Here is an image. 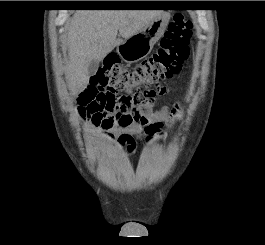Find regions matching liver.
I'll list each match as a JSON object with an SVG mask.
<instances>
[{
  "mask_svg": "<svg viewBox=\"0 0 265 245\" xmlns=\"http://www.w3.org/2000/svg\"><path fill=\"white\" fill-rule=\"evenodd\" d=\"M159 10H78L69 24L66 42L69 62L65 76L71 95L77 96L89 83L88 65L101 61L123 39L138 33ZM120 34L122 39L117 38Z\"/></svg>",
  "mask_w": 265,
  "mask_h": 245,
  "instance_id": "6515ba94",
  "label": "liver"
}]
</instances>
